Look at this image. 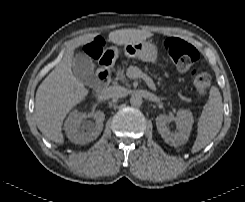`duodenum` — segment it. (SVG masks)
Returning <instances> with one entry per match:
<instances>
[{
    "instance_id": "duodenum-1",
    "label": "duodenum",
    "mask_w": 245,
    "mask_h": 202,
    "mask_svg": "<svg viewBox=\"0 0 245 202\" xmlns=\"http://www.w3.org/2000/svg\"><path fill=\"white\" fill-rule=\"evenodd\" d=\"M112 58L108 55H103L98 64L95 86L98 90L104 89L109 84L111 78L110 65Z\"/></svg>"
}]
</instances>
